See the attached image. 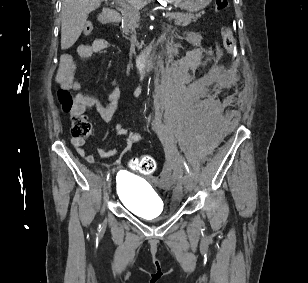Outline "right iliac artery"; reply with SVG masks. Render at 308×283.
<instances>
[{"mask_svg":"<svg viewBox=\"0 0 308 283\" xmlns=\"http://www.w3.org/2000/svg\"><path fill=\"white\" fill-rule=\"evenodd\" d=\"M109 177H110V172L107 174V180L109 179Z\"/></svg>","mask_w":308,"mask_h":283,"instance_id":"1","label":"right iliac artery"}]
</instances>
